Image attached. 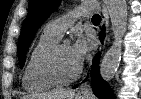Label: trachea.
<instances>
[{
    "label": "trachea",
    "mask_w": 141,
    "mask_h": 99,
    "mask_svg": "<svg viewBox=\"0 0 141 99\" xmlns=\"http://www.w3.org/2000/svg\"><path fill=\"white\" fill-rule=\"evenodd\" d=\"M100 21H101V17L98 14L92 17V22H100Z\"/></svg>",
    "instance_id": "3493384b"
}]
</instances>
